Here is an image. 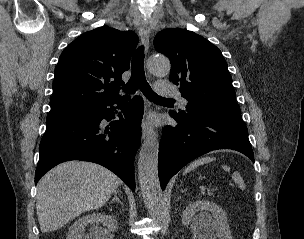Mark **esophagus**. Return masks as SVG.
<instances>
[{
    "label": "esophagus",
    "instance_id": "1",
    "mask_svg": "<svg viewBox=\"0 0 304 239\" xmlns=\"http://www.w3.org/2000/svg\"><path fill=\"white\" fill-rule=\"evenodd\" d=\"M139 35L141 38V42L142 44L145 46V51H148V47H149V36H150V28L147 22L143 21L140 25L139 28ZM148 77L150 78V76L148 75ZM152 113V109L147 106L145 109V114H144V119L142 121V138L145 139L147 138V136H149L151 134V132L153 131L152 127L149 124V118L151 116Z\"/></svg>",
    "mask_w": 304,
    "mask_h": 239
}]
</instances>
